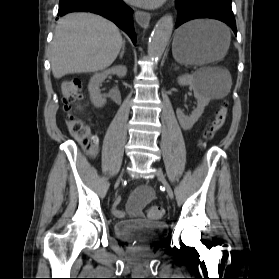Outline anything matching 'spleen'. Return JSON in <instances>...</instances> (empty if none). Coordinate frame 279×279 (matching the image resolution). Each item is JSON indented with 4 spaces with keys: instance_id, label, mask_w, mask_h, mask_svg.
<instances>
[{
    "instance_id": "3e777b00",
    "label": "spleen",
    "mask_w": 279,
    "mask_h": 279,
    "mask_svg": "<svg viewBox=\"0 0 279 279\" xmlns=\"http://www.w3.org/2000/svg\"><path fill=\"white\" fill-rule=\"evenodd\" d=\"M228 31L229 35L230 32ZM202 73H204V70L198 71L195 76H197L200 79V85H201V91L203 94L212 97V98H222L226 96L230 89H231V77L227 74L226 81L222 82L218 79H209L206 77H202Z\"/></svg>"
}]
</instances>
